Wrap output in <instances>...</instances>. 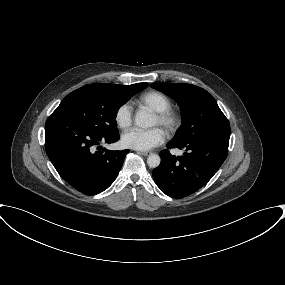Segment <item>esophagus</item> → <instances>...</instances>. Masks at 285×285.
<instances>
[{"mask_svg": "<svg viewBox=\"0 0 285 285\" xmlns=\"http://www.w3.org/2000/svg\"><path fill=\"white\" fill-rule=\"evenodd\" d=\"M138 153L143 155V156H148L151 154V152H149V151H138Z\"/></svg>", "mask_w": 285, "mask_h": 285, "instance_id": "obj_1", "label": "esophagus"}]
</instances>
